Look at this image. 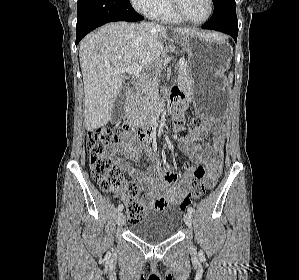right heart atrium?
Returning <instances> with one entry per match:
<instances>
[{
    "label": "right heart atrium",
    "mask_w": 299,
    "mask_h": 280,
    "mask_svg": "<svg viewBox=\"0 0 299 280\" xmlns=\"http://www.w3.org/2000/svg\"><path fill=\"white\" fill-rule=\"evenodd\" d=\"M131 5L139 12L150 14L158 0H129Z\"/></svg>",
    "instance_id": "1"
}]
</instances>
